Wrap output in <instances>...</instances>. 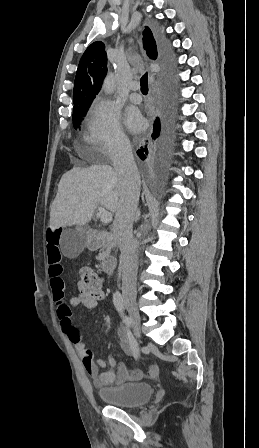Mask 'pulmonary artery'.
Returning <instances> with one entry per match:
<instances>
[{
  "mask_svg": "<svg viewBox=\"0 0 259 448\" xmlns=\"http://www.w3.org/2000/svg\"><path fill=\"white\" fill-rule=\"evenodd\" d=\"M138 88H139V82H137V81H133V82H131V84H130V89H131L132 91H136ZM130 100H131L132 102H134V103H139V102H141L142 97H141V95H139V94H137V93H131V94H130Z\"/></svg>",
  "mask_w": 259,
  "mask_h": 448,
  "instance_id": "pulmonary-artery-1",
  "label": "pulmonary artery"
}]
</instances>
